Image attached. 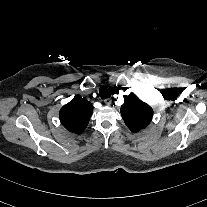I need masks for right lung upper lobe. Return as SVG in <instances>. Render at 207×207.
<instances>
[{"mask_svg": "<svg viewBox=\"0 0 207 207\" xmlns=\"http://www.w3.org/2000/svg\"><path fill=\"white\" fill-rule=\"evenodd\" d=\"M92 111V104L77 95L61 108L59 117L68 131L79 134L86 128Z\"/></svg>", "mask_w": 207, "mask_h": 207, "instance_id": "obj_1", "label": "right lung upper lobe"}]
</instances>
